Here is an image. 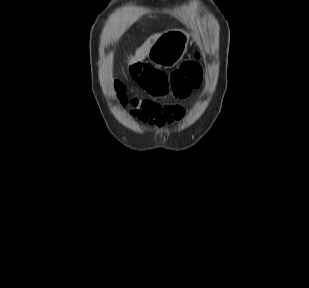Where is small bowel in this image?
Wrapping results in <instances>:
<instances>
[{
    "mask_svg": "<svg viewBox=\"0 0 309 288\" xmlns=\"http://www.w3.org/2000/svg\"><path fill=\"white\" fill-rule=\"evenodd\" d=\"M131 106L134 109V113L142 121L149 122L158 127L171 124L184 116L183 108L175 105L160 106L152 101L134 99L131 102Z\"/></svg>",
    "mask_w": 309,
    "mask_h": 288,
    "instance_id": "c3829d8e",
    "label": "small bowel"
}]
</instances>
